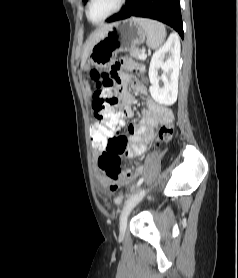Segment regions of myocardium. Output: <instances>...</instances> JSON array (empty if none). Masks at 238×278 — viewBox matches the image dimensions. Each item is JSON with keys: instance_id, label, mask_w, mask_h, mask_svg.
<instances>
[{"instance_id": "obj_1", "label": "myocardium", "mask_w": 238, "mask_h": 278, "mask_svg": "<svg viewBox=\"0 0 238 278\" xmlns=\"http://www.w3.org/2000/svg\"><path fill=\"white\" fill-rule=\"evenodd\" d=\"M91 2H92V0H88L86 3V6H85L86 17H87L88 21L91 22L92 24H101V23L105 22L106 20H108L109 18L116 15L123 8L124 4L126 3V0H119L116 8L111 13H109L106 17H104L103 19H101L99 21H93L89 16V7H90Z\"/></svg>"}]
</instances>
